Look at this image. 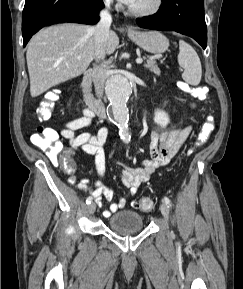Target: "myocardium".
I'll use <instances>...</instances> for the list:
<instances>
[{
  "label": "myocardium",
  "mask_w": 243,
  "mask_h": 289,
  "mask_svg": "<svg viewBox=\"0 0 243 289\" xmlns=\"http://www.w3.org/2000/svg\"><path fill=\"white\" fill-rule=\"evenodd\" d=\"M164 5V0H153L151 5L144 9H135L131 6L128 7L127 11L129 14L136 17H147L159 12Z\"/></svg>",
  "instance_id": "myocardium-1"
}]
</instances>
